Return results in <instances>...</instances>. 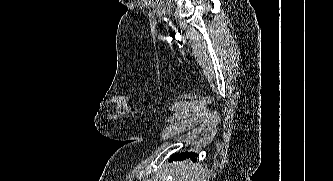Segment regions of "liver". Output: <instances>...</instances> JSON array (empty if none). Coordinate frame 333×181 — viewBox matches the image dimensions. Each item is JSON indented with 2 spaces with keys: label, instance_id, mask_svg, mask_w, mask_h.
I'll use <instances>...</instances> for the list:
<instances>
[{
  "label": "liver",
  "instance_id": "6515ba94",
  "mask_svg": "<svg viewBox=\"0 0 333 181\" xmlns=\"http://www.w3.org/2000/svg\"><path fill=\"white\" fill-rule=\"evenodd\" d=\"M202 172V166L192 164L189 160L175 164V173L179 181H200L199 175Z\"/></svg>",
  "mask_w": 333,
  "mask_h": 181
}]
</instances>
